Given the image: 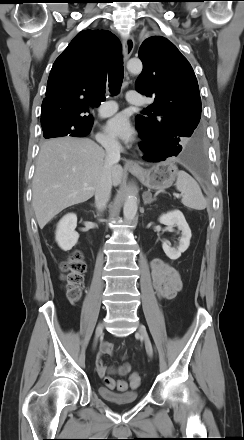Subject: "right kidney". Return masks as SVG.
Returning <instances> with one entry per match:
<instances>
[{
  "label": "right kidney",
  "instance_id": "right-kidney-1",
  "mask_svg": "<svg viewBox=\"0 0 244 440\" xmlns=\"http://www.w3.org/2000/svg\"><path fill=\"white\" fill-rule=\"evenodd\" d=\"M77 227V216L74 213L65 215L58 223L55 239L58 246L69 251L78 242L79 234L75 231Z\"/></svg>",
  "mask_w": 244,
  "mask_h": 440
}]
</instances>
